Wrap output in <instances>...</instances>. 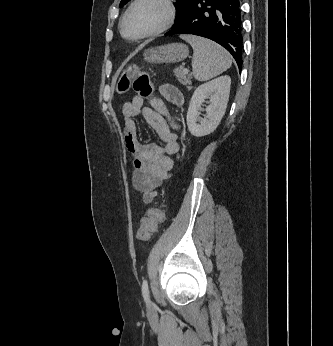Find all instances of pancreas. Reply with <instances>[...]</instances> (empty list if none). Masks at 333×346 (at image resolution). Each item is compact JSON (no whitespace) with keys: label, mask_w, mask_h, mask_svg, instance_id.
<instances>
[{"label":"pancreas","mask_w":333,"mask_h":346,"mask_svg":"<svg viewBox=\"0 0 333 346\" xmlns=\"http://www.w3.org/2000/svg\"><path fill=\"white\" fill-rule=\"evenodd\" d=\"M174 73L180 83L187 86L188 89H191V75L190 74L185 73L182 68L175 69Z\"/></svg>","instance_id":"pancreas-1"}]
</instances>
